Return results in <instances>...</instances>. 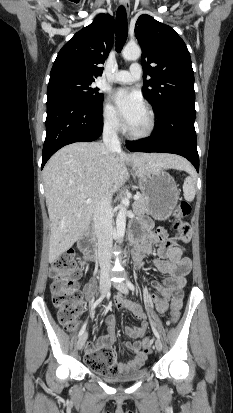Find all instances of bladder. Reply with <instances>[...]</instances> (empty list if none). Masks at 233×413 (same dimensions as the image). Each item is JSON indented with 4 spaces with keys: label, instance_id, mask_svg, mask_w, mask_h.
Instances as JSON below:
<instances>
[{
    "label": "bladder",
    "instance_id": "1",
    "mask_svg": "<svg viewBox=\"0 0 233 413\" xmlns=\"http://www.w3.org/2000/svg\"><path fill=\"white\" fill-rule=\"evenodd\" d=\"M147 372L148 370L145 367L139 366L135 368L126 369L120 373L113 374V375H107V374H101V373H98V374L101 375L104 380L109 381V382H127V381L140 379L144 377L147 374Z\"/></svg>",
    "mask_w": 233,
    "mask_h": 413
}]
</instances>
